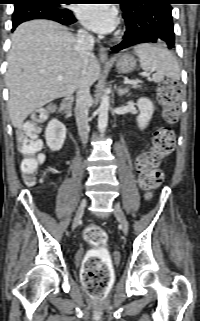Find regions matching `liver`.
Returning <instances> with one entry per match:
<instances>
[{"mask_svg":"<svg viewBox=\"0 0 200 321\" xmlns=\"http://www.w3.org/2000/svg\"><path fill=\"white\" fill-rule=\"evenodd\" d=\"M76 40L66 27L49 20H32L17 27L6 72L9 117L15 128L47 103L71 96L81 76L89 85L98 79L100 66L95 55L87 56L84 67Z\"/></svg>","mask_w":200,"mask_h":321,"instance_id":"6515ba94","label":"liver"}]
</instances>
